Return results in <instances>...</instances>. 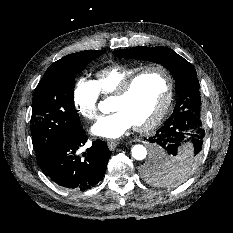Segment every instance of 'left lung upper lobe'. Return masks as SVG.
<instances>
[{
  "label": "left lung upper lobe",
  "mask_w": 233,
  "mask_h": 233,
  "mask_svg": "<svg viewBox=\"0 0 233 233\" xmlns=\"http://www.w3.org/2000/svg\"><path fill=\"white\" fill-rule=\"evenodd\" d=\"M113 54L126 59L151 61L166 67L175 79L176 93L179 97L168 120L183 117L200 120L202 106L200 84L195 68L186 59L166 47L138 46L131 49L116 50ZM199 160L200 158L193 156L167 160L160 164L154 172L146 173L144 176L150 181L171 179L174 180L173 184L181 183L194 172Z\"/></svg>",
  "instance_id": "5c2ea615"
}]
</instances>
